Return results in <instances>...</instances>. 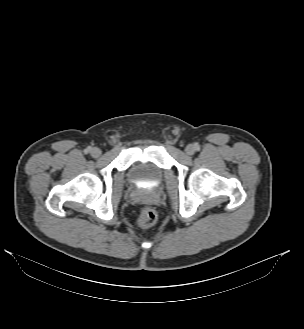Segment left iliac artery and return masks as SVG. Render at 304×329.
<instances>
[{"label":"left iliac artery","instance_id":"44dca946","mask_svg":"<svg viewBox=\"0 0 304 329\" xmlns=\"http://www.w3.org/2000/svg\"><path fill=\"white\" fill-rule=\"evenodd\" d=\"M195 149L199 150V145L198 144H195Z\"/></svg>","mask_w":304,"mask_h":329}]
</instances>
